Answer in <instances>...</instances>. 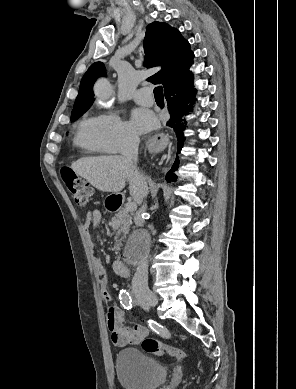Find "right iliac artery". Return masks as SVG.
I'll return each instance as SVG.
<instances>
[{
    "label": "right iliac artery",
    "instance_id": "82829eb1",
    "mask_svg": "<svg viewBox=\"0 0 296 389\" xmlns=\"http://www.w3.org/2000/svg\"><path fill=\"white\" fill-rule=\"evenodd\" d=\"M119 299H120V303L125 309L129 310L133 307L132 298L126 290L120 291Z\"/></svg>",
    "mask_w": 296,
    "mask_h": 389
}]
</instances>
